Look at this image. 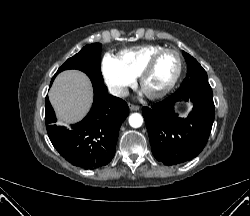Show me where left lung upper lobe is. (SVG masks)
Returning <instances> with one entry per match:
<instances>
[{"instance_id":"left-lung-upper-lobe-1","label":"left lung upper lobe","mask_w":250,"mask_h":216,"mask_svg":"<svg viewBox=\"0 0 250 216\" xmlns=\"http://www.w3.org/2000/svg\"><path fill=\"white\" fill-rule=\"evenodd\" d=\"M183 55L188 65L187 76L182 82L176 94H186L195 91L212 93L208 83V76L202 66L191 55L183 51Z\"/></svg>"}]
</instances>
